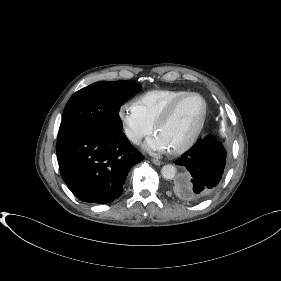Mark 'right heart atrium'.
<instances>
[{
	"label": "right heart atrium",
	"instance_id": "d8ad5b80",
	"mask_svg": "<svg viewBox=\"0 0 281 281\" xmlns=\"http://www.w3.org/2000/svg\"><path fill=\"white\" fill-rule=\"evenodd\" d=\"M119 118L127 138L132 143H139L153 131V125L144 116L136 102L123 103L119 108Z\"/></svg>",
	"mask_w": 281,
	"mask_h": 281
}]
</instances>
